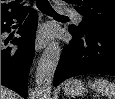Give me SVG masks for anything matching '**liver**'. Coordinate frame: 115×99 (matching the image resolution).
Instances as JSON below:
<instances>
[{"mask_svg":"<svg viewBox=\"0 0 115 99\" xmlns=\"http://www.w3.org/2000/svg\"><path fill=\"white\" fill-rule=\"evenodd\" d=\"M1 99H16V95L11 90L1 86Z\"/></svg>","mask_w":115,"mask_h":99,"instance_id":"1","label":"liver"}]
</instances>
